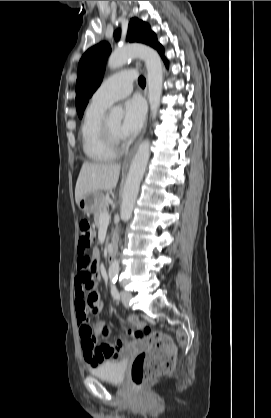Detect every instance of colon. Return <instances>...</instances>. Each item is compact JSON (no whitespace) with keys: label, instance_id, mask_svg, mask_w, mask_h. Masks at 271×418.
<instances>
[{"label":"colon","instance_id":"colon-1","mask_svg":"<svg viewBox=\"0 0 271 418\" xmlns=\"http://www.w3.org/2000/svg\"><path fill=\"white\" fill-rule=\"evenodd\" d=\"M79 233L80 256L88 255L94 242V230L89 221L83 219L79 222ZM128 322L136 326L135 337L149 339L148 351L138 354L131 364V381L133 386L140 390L153 377L174 368L176 350L167 335L152 332L149 326L141 323L136 317H130ZM84 332L88 334L90 330L86 328Z\"/></svg>","mask_w":271,"mask_h":418}]
</instances>
